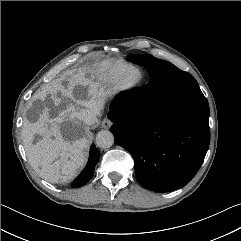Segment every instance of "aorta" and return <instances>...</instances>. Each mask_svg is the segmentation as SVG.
Wrapping results in <instances>:
<instances>
[{"instance_id":"aorta-1","label":"aorta","mask_w":241,"mask_h":241,"mask_svg":"<svg viewBox=\"0 0 241 241\" xmlns=\"http://www.w3.org/2000/svg\"><path fill=\"white\" fill-rule=\"evenodd\" d=\"M114 143V136L109 130H101L96 135V144L102 149L109 148Z\"/></svg>"}]
</instances>
